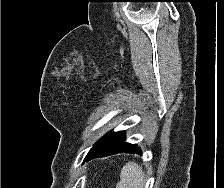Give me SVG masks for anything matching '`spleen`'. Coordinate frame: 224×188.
<instances>
[{
	"instance_id": "obj_1",
	"label": "spleen",
	"mask_w": 224,
	"mask_h": 188,
	"mask_svg": "<svg viewBox=\"0 0 224 188\" xmlns=\"http://www.w3.org/2000/svg\"><path fill=\"white\" fill-rule=\"evenodd\" d=\"M144 173L142 168L134 163H126L120 173V181L116 188H143Z\"/></svg>"
}]
</instances>
